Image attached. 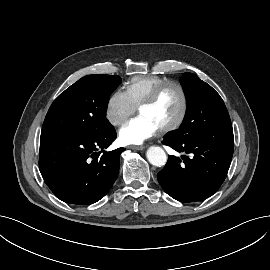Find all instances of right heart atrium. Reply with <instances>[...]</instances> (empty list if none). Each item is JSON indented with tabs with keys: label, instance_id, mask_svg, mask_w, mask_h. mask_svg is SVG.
Returning a JSON list of instances; mask_svg holds the SVG:
<instances>
[{
	"label": "right heart atrium",
	"instance_id": "obj_1",
	"mask_svg": "<svg viewBox=\"0 0 270 270\" xmlns=\"http://www.w3.org/2000/svg\"><path fill=\"white\" fill-rule=\"evenodd\" d=\"M137 107L132 103L124 90H115L108 98L105 108L106 120L113 126H120Z\"/></svg>",
	"mask_w": 270,
	"mask_h": 270
}]
</instances>
